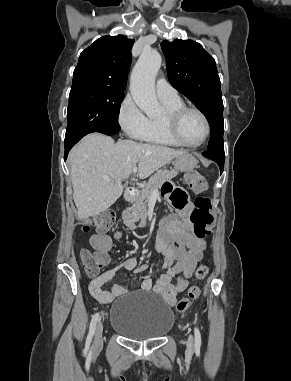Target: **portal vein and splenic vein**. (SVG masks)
<instances>
[{
    "label": "portal vein and splenic vein",
    "mask_w": 291,
    "mask_h": 381,
    "mask_svg": "<svg viewBox=\"0 0 291 381\" xmlns=\"http://www.w3.org/2000/svg\"><path fill=\"white\" fill-rule=\"evenodd\" d=\"M132 173L133 174H136L137 173V167L135 166V167H133V169H132ZM107 181H109L110 179L109 178H105ZM158 190H154V193H156Z\"/></svg>",
    "instance_id": "portal-vein-and-splenic-vein-1"
}]
</instances>
